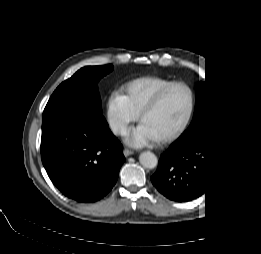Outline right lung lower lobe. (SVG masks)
Here are the masks:
<instances>
[{
    "mask_svg": "<svg viewBox=\"0 0 261 254\" xmlns=\"http://www.w3.org/2000/svg\"><path fill=\"white\" fill-rule=\"evenodd\" d=\"M122 149L105 120L75 107L45 108L42 163L67 197L78 202L103 198L115 185L125 161Z\"/></svg>",
    "mask_w": 261,
    "mask_h": 254,
    "instance_id": "98d812e1",
    "label": "right lung lower lobe"
}]
</instances>
